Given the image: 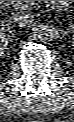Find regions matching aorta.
Returning <instances> with one entry per match:
<instances>
[{
  "instance_id": "1",
  "label": "aorta",
  "mask_w": 74,
  "mask_h": 122,
  "mask_svg": "<svg viewBox=\"0 0 74 122\" xmlns=\"http://www.w3.org/2000/svg\"><path fill=\"white\" fill-rule=\"evenodd\" d=\"M37 36L42 43H49L55 39L56 30L52 25L43 24L39 26Z\"/></svg>"
}]
</instances>
